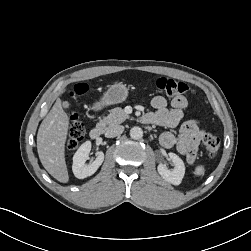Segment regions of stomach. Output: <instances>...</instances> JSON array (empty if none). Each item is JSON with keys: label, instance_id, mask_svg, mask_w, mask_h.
<instances>
[{"label": "stomach", "instance_id": "0dacf381", "mask_svg": "<svg viewBox=\"0 0 251 251\" xmlns=\"http://www.w3.org/2000/svg\"><path fill=\"white\" fill-rule=\"evenodd\" d=\"M128 97V88L122 82H115L110 85L103 97L95 102L94 109L99 110L103 107L124 102Z\"/></svg>", "mask_w": 251, "mask_h": 251}]
</instances>
